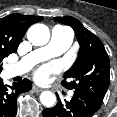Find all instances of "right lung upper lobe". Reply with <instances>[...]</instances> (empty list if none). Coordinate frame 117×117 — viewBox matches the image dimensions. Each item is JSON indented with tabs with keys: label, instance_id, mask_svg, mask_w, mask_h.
Masks as SVG:
<instances>
[{
	"label": "right lung upper lobe",
	"instance_id": "obj_1",
	"mask_svg": "<svg viewBox=\"0 0 117 117\" xmlns=\"http://www.w3.org/2000/svg\"><path fill=\"white\" fill-rule=\"evenodd\" d=\"M42 16H25L14 13L0 19V49L16 52L26 30L32 24L40 22Z\"/></svg>",
	"mask_w": 117,
	"mask_h": 117
}]
</instances>
